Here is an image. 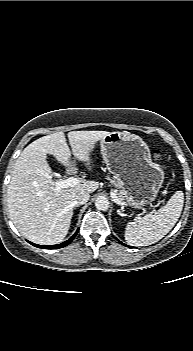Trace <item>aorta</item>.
<instances>
[{
    "label": "aorta",
    "instance_id": "1",
    "mask_svg": "<svg viewBox=\"0 0 193 351\" xmlns=\"http://www.w3.org/2000/svg\"><path fill=\"white\" fill-rule=\"evenodd\" d=\"M95 207L98 210L106 211L109 208V201L105 196H98L95 200Z\"/></svg>",
    "mask_w": 193,
    "mask_h": 351
}]
</instances>
